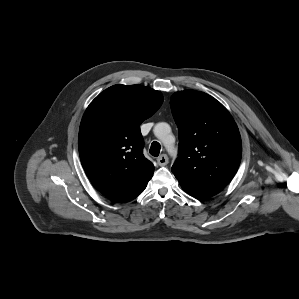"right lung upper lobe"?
Masks as SVG:
<instances>
[{"mask_svg":"<svg viewBox=\"0 0 299 299\" xmlns=\"http://www.w3.org/2000/svg\"><path fill=\"white\" fill-rule=\"evenodd\" d=\"M162 102V94L151 88L114 85L86 109L79 129V156L89 180L107 198L130 201L153 176L154 166L143 155L139 125Z\"/></svg>","mask_w":299,"mask_h":299,"instance_id":"right-lung-upper-lobe-1","label":"right lung upper lobe"}]
</instances>
